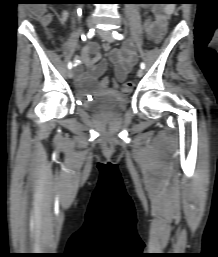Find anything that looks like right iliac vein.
<instances>
[{"mask_svg":"<svg viewBox=\"0 0 218 257\" xmlns=\"http://www.w3.org/2000/svg\"><path fill=\"white\" fill-rule=\"evenodd\" d=\"M94 25H95V20L92 19V18H90V19L88 20V27H89L90 29H92V28L94 27ZM67 76H68V78L72 79L73 76H74L73 70H69V71L67 72Z\"/></svg>","mask_w":218,"mask_h":257,"instance_id":"right-iliac-vein-1","label":"right iliac vein"}]
</instances>
